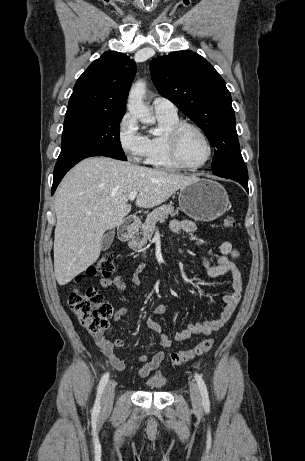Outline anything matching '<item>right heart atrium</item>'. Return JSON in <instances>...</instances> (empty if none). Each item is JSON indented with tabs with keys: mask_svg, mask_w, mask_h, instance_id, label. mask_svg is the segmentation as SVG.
Returning a JSON list of instances; mask_svg holds the SVG:
<instances>
[{
	"mask_svg": "<svg viewBox=\"0 0 305 461\" xmlns=\"http://www.w3.org/2000/svg\"><path fill=\"white\" fill-rule=\"evenodd\" d=\"M118 142L131 160H139L143 150V136L138 130L135 118L126 113L120 120L117 130Z\"/></svg>",
	"mask_w": 305,
	"mask_h": 461,
	"instance_id": "d8ad5b80",
	"label": "right heart atrium"
}]
</instances>
